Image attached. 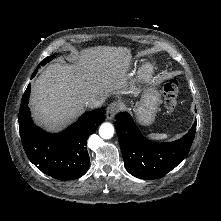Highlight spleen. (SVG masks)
Instances as JSON below:
<instances>
[{
    "label": "spleen",
    "mask_w": 221,
    "mask_h": 221,
    "mask_svg": "<svg viewBox=\"0 0 221 221\" xmlns=\"http://www.w3.org/2000/svg\"><path fill=\"white\" fill-rule=\"evenodd\" d=\"M148 137L150 139H153V140H163V139H166L168 137L167 134H159V133H152V134H149Z\"/></svg>",
    "instance_id": "obj_1"
}]
</instances>
